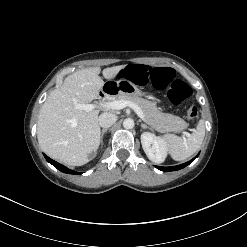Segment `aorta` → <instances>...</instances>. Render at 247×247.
<instances>
[{
  "label": "aorta",
  "mask_w": 247,
  "mask_h": 247,
  "mask_svg": "<svg viewBox=\"0 0 247 247\" xmlns=\"http://www.w3.org/2000/svg\"><path fill=\"white\" fill-rule=\"evenodd\" d=\"M123 127L125 129H132L134 127V120L131 119V118H126L124 121H123Z\"/></svg>",
  "instance_id": "aorta-1"
}]
</instances>
